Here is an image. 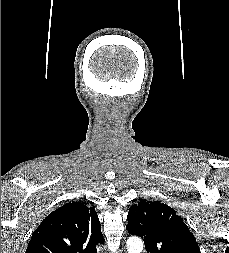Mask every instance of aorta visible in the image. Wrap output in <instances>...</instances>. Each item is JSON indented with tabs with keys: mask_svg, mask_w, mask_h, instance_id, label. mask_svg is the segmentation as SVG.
Listing matches in <instances>:
<instances>
[{
	"mask_svg": "<svg viewBox=\"0 0 229 253\" xmlns=\"http://www.w3.org/2000/svg\"><path fill=\"white\" fill-rule=\"evenodd\" d=\"M129 253H141L143 250V242L138 237H131L126 242Z\"/></svg>",
	"mask_w": 229,
	"mask_h": 253,
	"instance_id": "aorta-1",
	"label": "aorta"
}]
</instances>
